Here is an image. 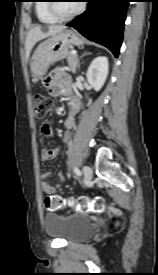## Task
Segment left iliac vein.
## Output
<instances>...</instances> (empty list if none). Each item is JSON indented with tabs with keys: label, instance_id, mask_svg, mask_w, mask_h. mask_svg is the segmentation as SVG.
Wrapping results in <instances>:
<instances>
[{
	"label": "left iliac vein",
	"instance_id": "4c4485c4",
	"mask_svg": "<svg viewBox=\"0 0 158 275\" xmlns=\"http://www.w3.org/2000/svg\"><path fill=\"white\" fill-rule=\"evenodd\" d=\"M83 174L87 182L91 181L93 175L91 167L88 165L83 166Z\"/></svg>",
	"mask_w": 158,
	"mask_h": 275
}]
</instances>
